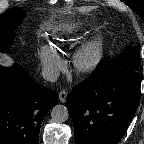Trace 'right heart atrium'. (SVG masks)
I'll list each match as a JSON object with an SVG mask.
<instances>
[{"label": "right heart atrium", "instance_id": "right-heart-atrium-1", "mask_svg": "<svg viewBox=\"0 0 144 144\" xmlns=\"http://www.w3.org/2000/svg\"><path fill=\"white\" fill-rule=\"evenodd\" d=\"M38 54L43 69L49 75H53L63 65V62L57 51L50 46H41Z\"/></svg>", "mask_w": 144, "mask_h": 144}]
</instances>
